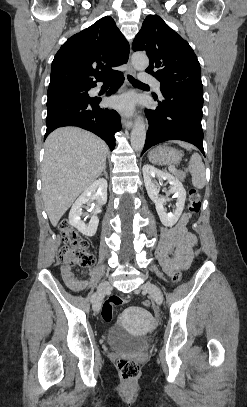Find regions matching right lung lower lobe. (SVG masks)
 Instances as JSON below:
<instances>
[{
    "label": "right lung lower lobe",
    "instance_id": "1",
    "mask_svg": "<svg viewBox=\"0 0 247 407\" xmlns=\"http://www.w3.org/2000/svg\"><path fill=\"white\" fill-rule=\"evenodd\" d=\"M110 95L124 81L120 71L112 74ZM108 79V78H107ZM106 79V80H107ZM101 99L70 100L47 107L46 137L56 128L78 126L101 137L111 150L115 147V132L121 129L120 116L115 110L103 109L98 106Z\"/></svg>",
    "mask_w": 247,
    "mask_h": 407
}]
</instances>
